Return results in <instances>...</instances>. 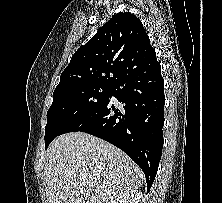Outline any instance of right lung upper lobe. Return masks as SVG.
<instances>
[{
	"label": "right lung upper lobe",
	"instance_id": "1",
	"mask_svg": "<svg viewBox=\"0 0 222 203\" xmlns=\"http://www.w3.org/2000/svg\"><path fill=\"white\" fill-rule=\"evenodd\" d=\"M155 59L141 21L130 12L117 13L74 53L55 91L84 85L111 87Z\"/></svg>",
	"mask_w": 222,
	"mask_h": 203
}]
</instances>
